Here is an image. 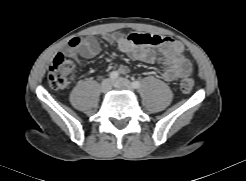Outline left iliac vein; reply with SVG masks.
Masks as SVG:
<instances>
[{
	"label": "left iliac vein",
	"instance_id": "4c4485c4",
	"mask_svg": "<svg viewBox=\"0 0 246 181\" xmlns=\"http://www.w3.org/2000/svg\"><path fill=\"white\" fill-rule=\"evenodd\" d=\"M113 86L118 89L132 90V84L125 78H119L113 82Z\"/></svg>",
	"mask_w": 246,
	"mask_h": 181
}]
</instances>
